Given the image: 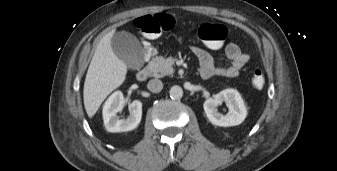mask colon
<instances>
[{
	"label": "colon",
	"instance_id": "obj_1",
	"mask_svg": "<svg viewBox=\"0 0 337 171\" xmlns=\"http://www.w3.org/2000/svg\"><path fill=\"white\" fill-rule=\"evenodd\" d=\"M136 29L145 36H155L162 31H169L176 25L174 17L168 14L146 15L137 18L134 21ZM197 34L200 44L211 50L222 48L226 43L228 35L227 29L223 25L201 23L197 27ZM143 53L141 61L150 63L157 55L155 44L151 40H146L142 44ZM252 85L256 89H261L265 85V75L262 70L255 69L251 79Z\"/></svg>",
	"mask_w": 337,
	"mask_h": 171
}]
</instances>
